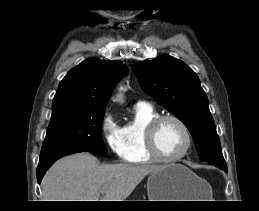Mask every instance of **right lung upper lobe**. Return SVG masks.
Returning a JSON list of instances; mask_svg holds the SVG:
<instances>
[{
	"instance_id": "1",
	"label": "right lung upper lobe",
	"mask_w": 259,
	"mask_h": 211,
	"mask_svg": "<svg viewBox=\"0 0 259 211\" xmlns=\"http://www.w3.org/2000/svg\"><path fill=\"white\" fill-rule=\"evenodd\" d=\"M127 72L128 68L120 61L97 58L83 61L59 84L51 117L75 108H105L114 85Z\"/></svg>"
}]
</instances>
